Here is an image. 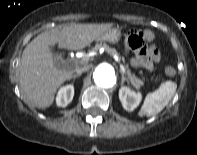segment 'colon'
Returning <instances> with one entry per match:
<instances>
[{"label":"colon","mask_w":197,"mask_h":155,"mask_svg":"<svg viewBox=\"0 0 197 155\" xmlns=\"http://www.w3.org/2000/svg\"><path fill=\"white\" fill-rule=\"evenodd\" d=\"M151 40V35L148 32H141L138 30H131L127 37L128 47L139 53H145L151 48H148L147 41ZM166 73L169 76L174 75L175 70L172 67L166 68Z\"/></svg>","instance_id":"5ec220e1"}]
</instances>
